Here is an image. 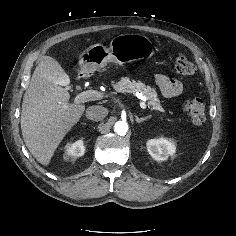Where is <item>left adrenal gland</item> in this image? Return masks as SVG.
<instances>
[{
    "label": "left adrenal gland",
    "mask_w": 236,
    "mask_h": 236,
    "mask_svg": "<svg viewBox=\"0 0 236 236\" xmlns=\"http://www.w3.org/2000/svg\"><path fill=\"white\" fill-rule=\"evenodd\" d=\"M150 118H151V116L149 115V116H146V117H143V118L136 117L135 120H136L137 123H141V122H143L147 119H150Z\"/></svg>",
    "instance_id": "1"
}]
</instances>
